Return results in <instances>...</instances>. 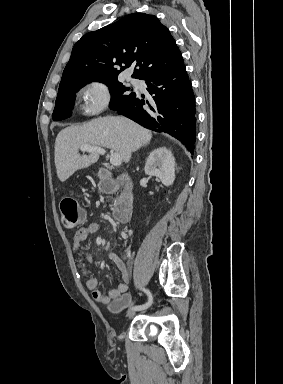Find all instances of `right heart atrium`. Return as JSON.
Returning <instances> with one entry per match:
<instances>
[{"label": "right heart atrium", "mask_w": 283, "mask_h": 384, "mask_svg": "<svg viewBox=\"0 0 283 384\" xmlns=\"http://www.w3.org/2000/svg\"><path fill=\"white\" fill-rule=\"evenodd\" d=\"M79 110L86 118L103 112L110 104L112 89L103 79H89L78 88Z\"/></svg>", "instance_id": "1"}]
</instances>
